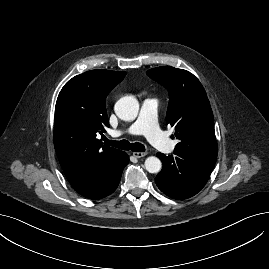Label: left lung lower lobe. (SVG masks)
<instances>
[{"label":"left lung lower lobe","mask_w":269,"mask_h":269,"mask_svg":"<svg viewBox=\"0 0 269 269\" xmlns=\"http://www.w3.org/2000/svg\"><path fill=\"white\" fill-rule=\"evenodd\" d=\"M163 168L156 176L158 188L174 199H186L197 194L206 184L217 156L196 151L174 149V156L157 153Z\"/></svg>","instance_id":"left-lung-lower-lobe-1"}]
</instances>
